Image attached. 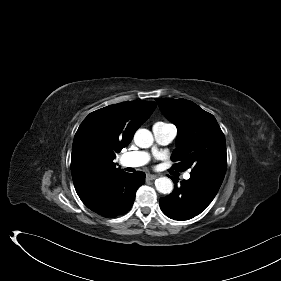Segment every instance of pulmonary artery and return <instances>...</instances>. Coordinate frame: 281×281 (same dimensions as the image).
I'll return each mask as SVG.
<instances>
[{"instance_id":"e3ab8cb5","label":"pulmonary artery","mask_w":281,"mask_h":281,"mask_svg":"<svg viewBox=\"0 0 281 281\" xmlns=\"http://www.w3.org/2000/svg\"><path fill=\"white\" fill-rule=\"evenodd\" d=\"M154 139L159 145H168L176 137V127L168 123H156L153 128ZM150 155L145 151H137L126 153L121 157V162L126 167H140L148 163ZM184 179L190 178V173L186 172L183 175Z\"/></svg>"}]
</instances>
